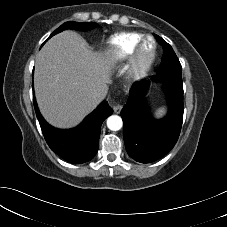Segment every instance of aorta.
<instances>
[{"label": "aorta", "mask_w": 227, "mask_h": 227, "mask_svg": "<svg viewBox=\"0 0 227 227\" xmlns=\"http://www.w3.org/2000/svg\"><path fill=\"white\" fill-rule=\"evenodd\" d=\"M123 122L120 116L112 115L107 119V127L112 131H118L122 128Z\"/></svg>", "instance_id": "aorta-1"}]
</instances>
